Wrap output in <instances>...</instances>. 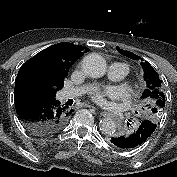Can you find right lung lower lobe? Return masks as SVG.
<instances>
[{
	"label": "right lung lower lobe",
	"instance_id": "98d812e1",
	"mask_svg": "<svg viewBox=\"0 0 177 177\" xmlns=\"http://www.w3.org/2000/svg\"><path fill=\"white\" fill-rule=\"evenodd\" d=\"M14 93L16 112L27 130L35 135L56 133L73 112L68 106L60 105L56 94L25 87L15 89Z\"/></svg>",
	"mask_w": 177,
	"mask_h": 177
}]
</instances>
